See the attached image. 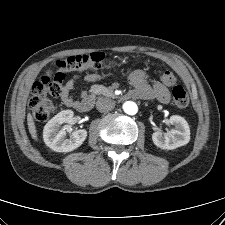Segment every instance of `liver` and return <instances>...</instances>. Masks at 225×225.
<instances>
[{
	"mask_svg": "<svg viewBox=\"0 0 225 225\" xmlns=\"http://www.w3.org/2000/svg\"><path fill=\"white\" fill-rule=\"evenodd\" d=\"M27 125H28L29 132L31 134V137L34 140H37L38 137H37V131H36L35 123H34V120L32 118V115L30 113H28V115H27Z\"/></svg>",
	"mask_w": 225,
	"mask_h": 225,
	"instance_id": "1",
	"label": "liver"
}]
</instances>
